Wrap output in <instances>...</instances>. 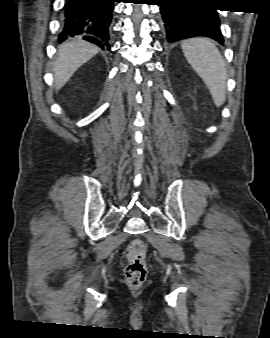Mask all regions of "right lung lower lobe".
<instances>
[{
    "label": "right lung lower lobe",
    "mask_w": 270,
    "mask_h": 338,
    "mask_svg": "<svg viewBox=\"0 0 270 338\" xmlns=\"http://www.w3.org/2000/svg\"><path fill=\"white\" fill-rule=\"evenodd\" d=\"M116 0H66L59 41L81 37L103 50L109 48V26Z\"/></svg>",
    "instance_id": "right-lung-lower-lobe-1"
}]
</instances>
